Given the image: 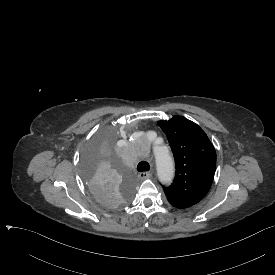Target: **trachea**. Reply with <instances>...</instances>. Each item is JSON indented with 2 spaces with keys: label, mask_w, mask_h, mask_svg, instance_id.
<instances>
[{
  "label": "trachea",
  "mask_w": 275,
  "mask_h": 275,
  "mask_svg": "<svg viewBox=\"0 0 275 275\" xmlns=\"http://www.w3.org/2000/svg\"><path fill=\"white\" fill-rule=\"evenodd\" d=\"M150 169V165L148 162L146 161H141L138 165H137V170L139 172H144V171H149Z\"/></svg>",
  "instance_id": "obj_1"
}]
</instances>
